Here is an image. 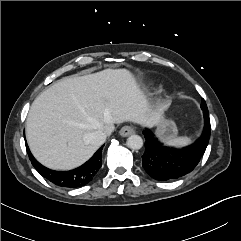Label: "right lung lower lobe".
I'll list each match as a JSON object with an SVG mask.
<instances>
[{"mask_svg": "<svg viewBox=\"0 0 241 241\" xmlns=\"http://www.w3.org/2000/svg\"><path fill=\"white\" fill-rule=\"evenodd\" d=\"M27 153L29 155L30 161L35 169L48 180H55L56 183L61 187L76 188L86 185L92 180L95 174L98 172L102 166V149L101 147L92 158L84 163L82 166L71 170V171H54L42 166L31 154L27 144Z\"/></svg>", "mask_w": 241, "mask_h": 241, "instance_id": "right-lung-lower-lobe-1", "label": "right lung lower lobe"}]
</instances>
